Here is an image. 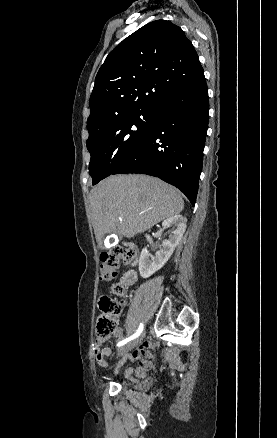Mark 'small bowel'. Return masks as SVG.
Segmentation results:
<instances>
[{"instance_id": "obj_1", "label": "small bowel", "mask_w": 277, "mask_h": 438, "mask_svg": "<svg viewBox=\"0 0 277 438\" xmlns=\"http://www.w3.org/2000/svg\"><path fill=\"white\" fill-rule=\"evenodd\" d=\"M123 332H124V330L122 327H117L111 335L115 339H121L123 336ZM106 339L107 338L98 337L96 339V345L100 346L101 344H103L106 341ZM151 349H152V344L149 342H144L141 344L140 349L135 350L131 355V357L133 359L138 360L142 363V367L136 369V371H135L138 376L143 377L145 370H147L151 367L150 363L145 360V358H147L149 356V351ZM92 353H93V355L97 356L96 360L98 362V366L104 367L105 366L104 355L105 356L110 355L111 350L108 347L103 348V350H102L103 355H102V354H100L101 353L100 348L95 347V348H93ZM120 364H122V361L120 362ZM129 373H131V371H129Z\"/></svg>"}]
</instances>
